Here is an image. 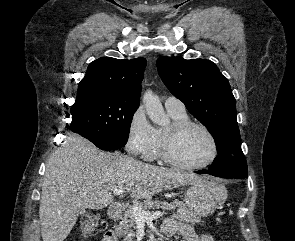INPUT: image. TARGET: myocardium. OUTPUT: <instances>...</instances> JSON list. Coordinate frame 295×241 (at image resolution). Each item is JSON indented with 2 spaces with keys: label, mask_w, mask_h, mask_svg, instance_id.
Listing matches in <instances>:
<instances>
[{
  "label": "myocardium",
  "mask_w": 295,
  "mask_h": 241,
  "mask_svg": "<svg viewBox=\"0 0 295 241\" xmlns=\"http://www.w3.org/2000/svg\"><path fill=\"white\" fill-rule=\"evenodd\" d=\"M191 127H196L200 130H202L210 139L212 143V153L211 156L203 163L200 164H186L183 163L179 160H177L173 155L171 151L172 147V142L174 138L184 130L191 128ZM219 155V144L218 141L213 134V132L204 124L197 122V121H192V120H184V121H173L167 128H165L161 134V139H160V147H159V156L160 158L174 166L180 169L184 170H201L204 168H207L211 164L215 162Z\"/></svg>",
  "instance_id": "obj_1"
}]
</instances>
